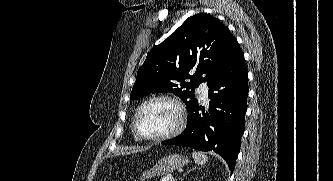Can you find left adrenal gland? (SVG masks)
<instances>
[{"mask_svg":"<svg viewBox=\"0 0 333 181\" xmlns=\"http://www.w3.org/2000/svg\"><path fill=\"white\" fill-rule=\"evenodd\" d=\"M193 169H190L188 172H186L185 174H183V176L182 177H180L179 179H181L182 180V178L184 177V176H186L189 172H191Z\"/></svg>","mask_w":333,"mask_h":181,"instance_id":"left-adrenal-gland-1","label":"left adrenal gland"}]
</instances>
